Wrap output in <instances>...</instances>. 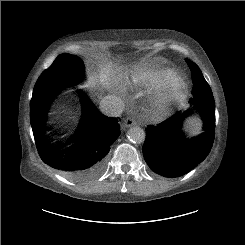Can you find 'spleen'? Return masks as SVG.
Returning <instances> with one entry per match:
<instances>
[{"instance_id": "spleen-1", "label": "spleen", "mask_w": 245, "mask_h": 245, "mask_svg": "<svg viewBox=\"0 0 245 245\" xmlns=\"http://www.w3.org/2000/svg\"><path fill=\"white\" fill-rule=\"evenodd\" d=\"M197 132L196 131H193V134H196Z\"/></svg>"}]
</instances>
